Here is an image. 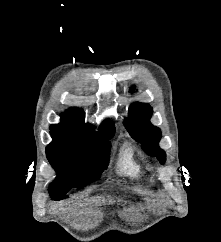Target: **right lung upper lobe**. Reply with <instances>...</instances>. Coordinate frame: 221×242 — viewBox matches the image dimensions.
<instances>
[{"label":"right lung upper lobe","instance_id":"obj_1","mask_svg":"<svg viewBox=\"0 0 221 242\" xmlns=\"http://www.w3.org/2000/svg\"><path fill=\"white\" fill-rule=\"evenodd\" d=\"M52 132H69L86 138L103 139L114 135L115 128L111 121H104L95 132L94 127L84 122V112L77 108L70 109L61 117V123L50 126Z\"/></svg>","mask_w":221,"mask_h":242}]
</instances>
